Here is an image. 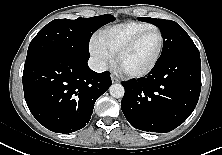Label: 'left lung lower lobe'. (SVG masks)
I'll return each instance as SVG.
<instances>
[{
    "label": "left lung lower lobe",
    "mask_w": 222,
    "mask_h": 155,
    "mask_svg": "<svg viewBox=\"0 0 222 155\" xmlns=\"http://www.w3.org/2000/svg\"><path fill=\"white\" fill-rule=\"evenodd\" d=\"M200 54L157 60L147 77L122 82V111L136 129L166 133L193 112L201 90Z\"/></svg>",
    "instance_id": "left-lung-lower-lobe-1"
}]
</instances>
